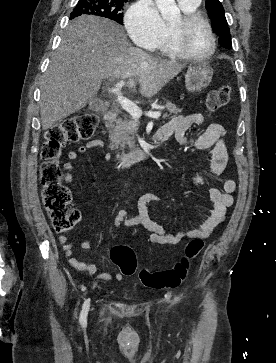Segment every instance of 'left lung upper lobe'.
I'll list each match as a JSON object with an SVG mask.
<instances>
[{
	"label": "left lung upper lobe",
	"instance_id": "5c2ea615",
	"mask_svg": "<svg viewBox=\"0 0 276 363\" xmlns=\"http://www.w3.org/2000/svg\"><path fill=\"white\" fill-rule=\"evenodd\" d=\"M206 9L212 19V29L219 35V43L224 48H231V35L224 15V9L219 0H209L206 2Z\"/></svg>",
	"mask_w": 276,
	"mask_h": 363
}]
</instances>
